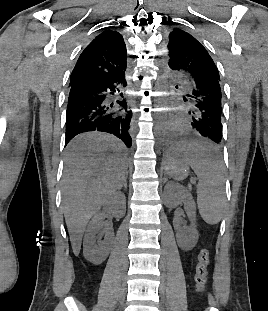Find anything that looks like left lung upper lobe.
I'll return each instance as SVG.
<instances>
[{
  "mask_svg": "<svg viewBox=\"0 0 268 311\" xmlns=\"http://www.w3.org/2000/svg\"><path fill=\"white\" fill-rule=\"evenodd\" d=\"M168 65L186 69L201 68L209 71L220 81L218 69L205 47L192 35L175 28L169 34L167 45Z\"/></svg>",
  "mask_w": 268,
  "mask_h": 311,
  "instance_id": "left-lung-upper-lobe-1",
  "label": "left lung upper lobe"
}]
</instances>
